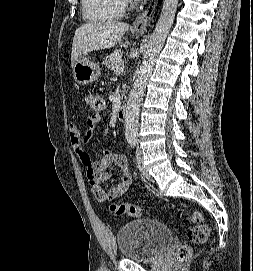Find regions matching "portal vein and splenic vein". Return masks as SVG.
Instances as JSON below:
<instances>
[{
    "label": "portal vein and splenic vein",
    "instance_id": "obj_1",
    "mask_svg": "<svg viewBox=\"0 0 253 271\" xmlns=\"http://www.w3.org/2000/svg\"><path fill=\"white\" fill-rule=\"evenodd\" d=\"M114 72H115L116 74H121V73L124 72V68H122V67H120V66H116V67L114 68Z\"/></svg>",
    "mask_w": 253,
    "mask_h": 271
}]
</instances>
